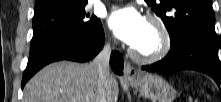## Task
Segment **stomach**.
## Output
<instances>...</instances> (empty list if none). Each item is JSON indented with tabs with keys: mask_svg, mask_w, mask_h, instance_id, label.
Returning <instances> with one entry per match:
<instances>
[{
	"mask_svg": "<svg viewBox=\"0 0 221 102\" xmlns=\"http://www.w3.org/2000/svg\"><path fill=\"white\" fill-rule=\"evenodd\" d=\"M128 82L141 95L155 102H173L177 95L175 89L158 75L145 74Z\"/></svg>",
	"mask_w": 221,
	"mask_h": 102,
	"instance_id": "obj_1",
	"label": "stomach"
}]
</instances>
